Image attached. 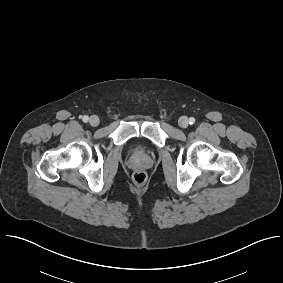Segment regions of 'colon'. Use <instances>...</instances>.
Listing matches in <instances>:
<instances>
[{
    "instance_id": "colon-1",
    "label": "colon",
    "mask_w": 283,
    "mask_h": 283,
    "mask_svg": "<svg viewBox=\"0 0 283 283\" xmlns=\"http://www.w3.org/2000/svg\"><path fill=\"white\" fill-rule=\"evenodd\" d=\"M132 180L135 185L143 186L147 181V175L143 171H136L132 176Z\"/></svg>"
}]
</instances>
